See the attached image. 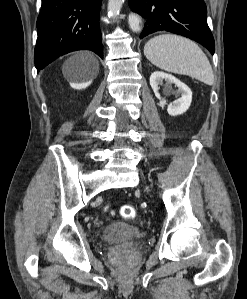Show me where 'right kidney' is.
I'll list each match as a JSON object with an SVG mask.
<instances>
[{"label":"right kidney","mask_w":247,"mask_h":299,"mask_svg":"<svg viewBox=\"0 0 247 299\" xmlns=\"http://www.w3.org/2000/svg\"><path fill=\"white\" fill-rule=\"evenodd\" d=\"M91 84V81L86 82V83H80V84H72L71 86L75 89H84L87 86H89Z\"/></svg>","instance_id":"ca27d5eb"}]
</instances>
